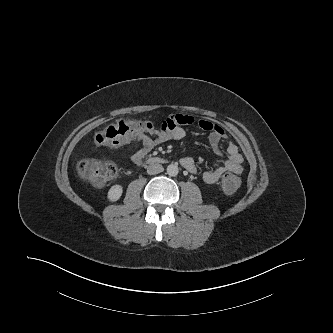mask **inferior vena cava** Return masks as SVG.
Listing matches in <instances>:
<instances>
[{
  "mask_svg": "<svg viewBox=\"0 0 333 333\" xmlns=\"http://www.w3.org/2000/svg\"><path fill=\"white\" fill-rule=\"evenodd\" d=\"M164 168L161 164L152 163L147 167V173L150 175H155L163 172Z\"/></svg>",
  "mask_w": 333,
  "mask_h": 333,
  "instance_id": "inferior-vena-cava-1",
  "label": "inferior vena cava"
}]
</instances>
